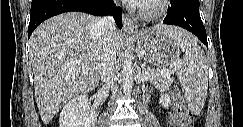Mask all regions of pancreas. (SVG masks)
<instances>
[{
    "label": "pancreas",
    "instance_id": "pancreas-1",
    "mask_svg": "<svg viewBox=\"0 0 243 127\" xmlns=\"http://www.w3.org/2000/svg\"><path fill=\"white\" fill-rule=\"evenodd\" d=\"M147 70L149 71L146 76L149 78L150 81L154 83V85L160 89H167L173 82V78L171 76H166L161 73L160 70L155 68L148 67Z\"/></svg>",
    "mask_w": 243,
    "mask_h": 127
}]
</instances>
